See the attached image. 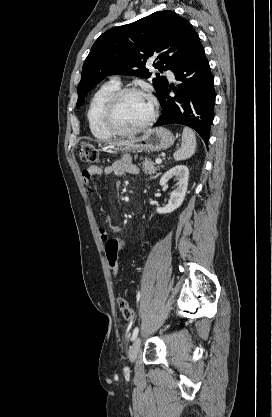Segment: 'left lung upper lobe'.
<instances>
[{
    "label": "left lung upper lobe",
    "instance_id": "5c2ea615",
    "mask_svg": "<svg viewBox=\"0 0 272 417\" xmlns=\"http://www.w3.org/2000/svg\"><path fill=\"white\" fill-rule=\"evenodd\" d=\"M202 45L196 31L184 18L172 11H158L131 24L106 31L91 48L78 88L79 107L88 93L108 75L122 74L148 78V59L160 71L173 70ZM153 79L159 98L165 91L166 77Z\"/></svg>",
    "mask_w": 272,
    "mask_h": 417
}]
</instances>
